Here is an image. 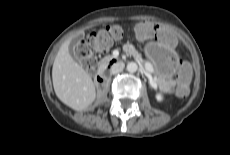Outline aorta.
Wrapping results in <instances>:
<instances>
[{
  "instance_id": "1",
  "label": "aorta",
  "mask_w": 230,
  "mask_h": 155,
  "mask_svg": "<svg viewBox=\"0 0 230 155\" xmlns=\"http://www.w3.org/2000/svg\"><path fill=\"white\" fill-rule=\"evenodd\" d=\"M127 71L130 73H134L138 69V65L135 62H129L126 67Z\"/></svg>"
}]
</instances>
